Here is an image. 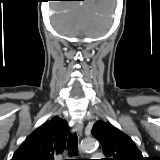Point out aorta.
Returning <instances> with one entry per match:
<instances>
[{"label":"aorta","mask_w":160,"mask_h":160,"mask_svg":"<svg viewBox=\"0 0 160 160\" xmlns=\"http://www.w3.org/2000/svg\"><path fill=\"white\" fill-rule=\"evenodd\" d=\"M96 144L97 142L94 138H87L82 142L81 148L84 151H88L94 149L96 147Z\"/></svg>","instance_id":"1"}]
</instances>
